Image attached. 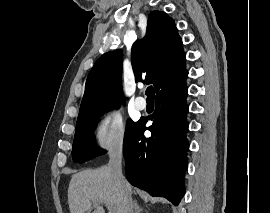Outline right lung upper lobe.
I'll return each mask as SVG.
<instances>
[{
    "label": "right lung upper lobe",
    "instance_id": "1",
    "mask_svg": "<svg viewBox=\"0 0 270 213\" xmlns=\"http://www.w3.org/2000/svg\"><path fill=\"white\" fill-rule=\"evenodd\" d=\"M122 51L103 54L91 69L77 121L117 107L121 103ZM136 82L152 83L157 92L185 71V53L174 20L165 12L148 16L147 32L132 46Z\"/></svg>",
    "mask_w": 270,
    "mask_h": 213
}]
</instances>
